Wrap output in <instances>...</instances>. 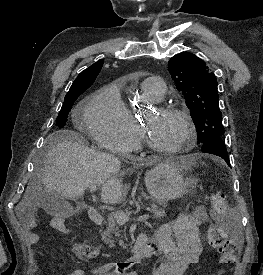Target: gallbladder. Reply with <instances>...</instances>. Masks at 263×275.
Returning a JSON list of instances; mask_svg holds the SVG:
<instances>
[{
  "label": "gallbladder",
  "mask_w": 263,
  "mask_h": 275,
  "mask_svg": "<svg viewBox=\"0 0 263 275\" xmlns=\"http://www.w3.org/2000/svg\"><path fill=\"white\" fill-rule=\"evenodd\" d=\"M40 206L44 211L60 218H68L74 213L73 207L58 192H44L39 197Z\"/></svg>",
  "instance_id": "bac80fb5"
}]
</instances>
